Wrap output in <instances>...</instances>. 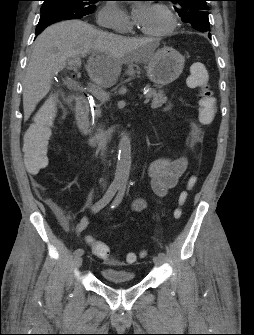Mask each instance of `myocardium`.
Here are the masks:
<instances>
[{"label":"myocardium","mask_w":254,"mask_h":335,"mask_svg":"<svg viewBox=\"0 0 254 335\" xmlns=\"http://www.w3.org/2000/svg\"><path fill=\"white\" fill-rule=\"evenodd\" d=\"M154 7L161 10L168 17L169 19L168 27L164 29L163 31L156 32V33H150L143 29L141 30V32L145 35L153 36V37H165V36L170 35L177 27V18L174 12L171 10L170 7L164 4L157 3L154 5Z\"/></svg>","instance_id":"obj_1"}]
</instances>
